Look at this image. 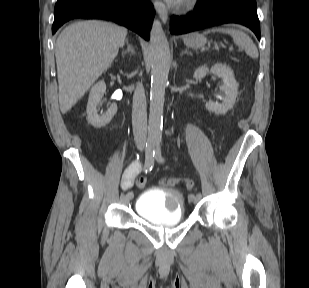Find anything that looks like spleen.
<instances>
[{
	"mask_svg": "<svg viewBox=\"0 0 309 288\" xmlns=\"http://www.w3.org/2000/svg\"><path fill=\"white\" fill-rule=\"evenodd\" d=\"M210 32H222V33H226L229 34L232 38L234 43L239 46L244 48L246 54L253 58V59H257L259 54H258V50L257 47L255 46V44L253 43V41L250 39V37L237 29H231V28H214L212 30H208L205 33H210Z\"/></svg>",
	"mask_w": 309,
	"mask_h": 288,
	"instance_id": "3e777b00",
	"label": "spleen"
}]
</instances>
